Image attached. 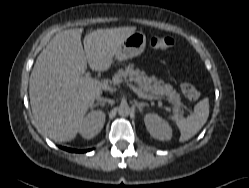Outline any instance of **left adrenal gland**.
<instances>
[{"instance_id": "a2214340", "label": "left adrenal gland", "mask_w": 249, "mask_h": 188, "mask_svg": "<svg viewBox=\"0 0 249 188\" xmlns=\"http://www.w3.org/2000/svg\"><path fill=\"white\" fill-rule=\"evenodd\" d=\"M135 105L137 106V108L139 109V111L142 112L143 111V107L148 106V103L135 101Z\"/></svg>"}]
</instances>
